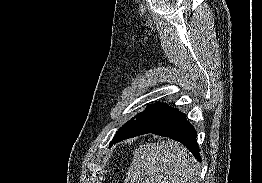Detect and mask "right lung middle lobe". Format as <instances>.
<instances>
[{
  "instance_id": "dd1d6c3e",
  "label": "right lung middle lobe",
  "mask_w": 262,
  "mask_h": 183,
  "mask_svg": "<svg viewBox=\"0 0 262 183\" xmlns=\"http://www.w3.org/2000/svg\"><path fill=\"white\" fill-rule=\"evenodd\" d=\"M140 114L136 115L135 117H133L131 120H129L126 124H124L119 130L118 132L116 133L115 137L113 140L117 139L121 134L122 132L126 129V127L131 123L133 122ZM112 140V141H113Z\"/></svg>"
}]
</instances>
